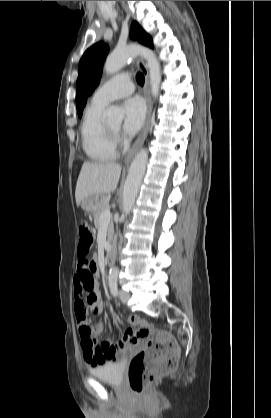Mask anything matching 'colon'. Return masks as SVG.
I'll return each instance as SVG.
<instances>
[{"label":"colon","mask_w":271,"mask_h":418,"mask_svg":"<svg viewBox=\"0 0 271 418\" xmlns=\"http://www.w3.org/2000/svg\"><path fill=\"white\" fill-rule=\"evenodd\" d=\"M93 243L94 234L91 226L85 221L80 222L78 255L89 256ZM130 322L140 326L138 337L148 339L147 349L132 358L128 369L130 388L135 394L141 395L156 378L176 369L179 348L172 335L166 331L152 330L136 316H131ZM85 331L88 332V328Z\"/></svg>","instance_id":"5ec220e1"}]
</instances>
